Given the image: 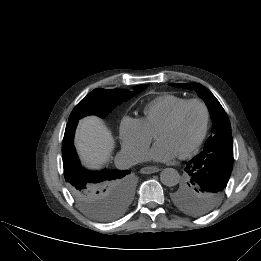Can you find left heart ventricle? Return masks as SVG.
I'll use <instances>...</instances> for the list:
<instances>
[{
    "instance_id": "b2bd125f",
    "label": "left heart ventricle",
    "mask_w": 261,
    "mask_h": 261,
    "mask_svg": "<svg viewBox=\"0 0 261 261\" xmlns=\"http://www.w3.org/2000/svg\"><path fill=\"white\" fill-rule=\"evenodd\" d=\"M204 121V112L198 104L185 108L176 124L160 129L156 133L158 141H168L178 154L188 148L199 136Z\"/></svg>"
}]
</instances>
